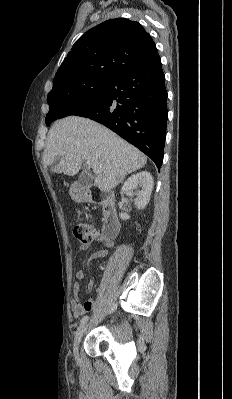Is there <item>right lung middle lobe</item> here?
Segmentation results:
<instances>
[{
  "instance_id": "dd1d6c3e",
  "label": "right lung middle lobe",
  "mask_w": 232,
  "mask_h": 399,
  "mask_svg": "<svg viewBox=\"0 0 232 399\" xmlns=\"http://www.w3.org/2000/svg\"><path fill=\"white\" fill-rule=\"evenodd\" d=\"M109 81L110 78L88 79L70 86L62 93L48 95L50 109L46 115V125L57 120L67 108L97 98Z\"/></svg>"
}]
</instances>
